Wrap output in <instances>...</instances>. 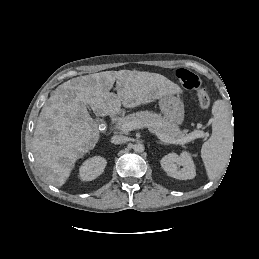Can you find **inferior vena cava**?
I'll return each mask as SVG.
<instances>
[{
  "label": "inferior vena cava",
  "instance_id": "inferior-vena-cava-1",
  "mask_svg": "<svg viewBox=\"0 0 259 259\" xmlns=\"http://www.w3.org/2000/svg\"><path fill=\"white\" fill-rule=\"evenodd\" d=\"M113 144H123L127 142V137L122 135H115L111 138Z\"/></svg>",
  "mask_w": 259,
  "mask_h": 259
}]
</instances>
